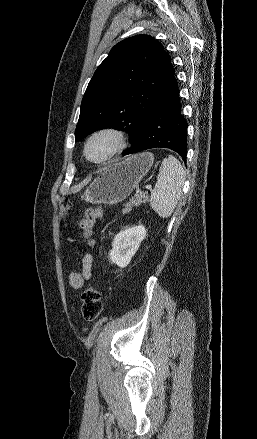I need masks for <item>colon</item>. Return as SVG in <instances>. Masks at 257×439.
<instances>
[{
	"label": "colon",
	"mask_w": 257,
	"mask_h": 439,
	"mask_svg": "<svg viewBox=\"0 0 257 439\" xmlns=\"http://www.w3.org/2000/svg\"><path fill=\"white\" fill-rule=\"evenodd\" d=\"M103 215V208L101 206H94L88 208L81 220V228L84 238L91 243L94 225L98 219ZM83 277L81 271H73L69 275V284L72 288L77 289L82 286ZM82 316L87 321H93L99 317L102 312L103 302L102 295L98 288L89 287L84 290L81 296Z\"/></svg>",
	"instance_id": "5ec220e1"
}]
</instances>
